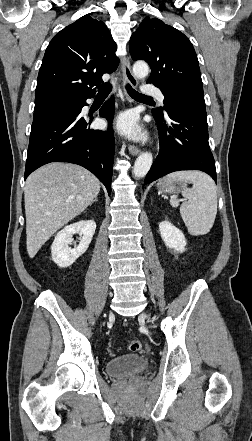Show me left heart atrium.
Segmentation results:
<instances>
[{"mask_svg": "<svg viewBox=\"0 0 252 441\" xmlns=\"http://www.w3.org/2000/svg\"><path fill=\"white\" fill-rule=\"evenodd\" d=\"M117 128L125 135L131 138H140L141 129L137 123V117L132 112H126L120 115L116 121Z\"/></svg>", "mask_w": 252, "mask_h": 441, "instance_id": "1", "label": "left heart atrium"}]
</instances>
